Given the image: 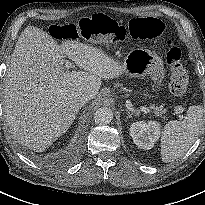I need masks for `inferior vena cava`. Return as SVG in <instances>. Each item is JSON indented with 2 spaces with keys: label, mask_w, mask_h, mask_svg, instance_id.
Listing matches in <instances>:
<instances>
[{
  "label": "inferior vena cava",
  "mask_w": 205,
  "mask_h": 205,
  "mask_svg": "<svg viewBox=\"0 0 205 205\" xmlns=\"http://www.w3.org/2000/svg\"><path fill=\"white\" fill-rule=\"evenodd\" d=\"M91 99V96L87 93H79L75 97V101L78 105L83 106Z\"/></svg>",
  "instance_id": "602c4592"
}]
</instances>
